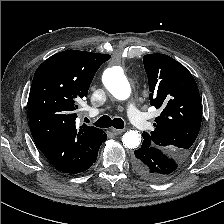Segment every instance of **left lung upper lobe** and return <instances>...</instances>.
Instances as JSON below:
<instances>
[{"instance_id": "5c2ea615", "label": "left lung upper lobe", "mask_w": 224, "mask_h": 224, "mask_svg": "<svg viewBox=\"0 0 224 224\" xmlns=\"http://www.w3.org/2000/svg\"><path fill=\"white\" fill-rule=\"evenodd\" d=\"M148 76L150 104L160 109L154 131L143 132V144L156 147L182 166L193 149L202 119L201 99L192 74L165 54H148L143 58ZM160 177L171 178L176 172Z\"/></svg>"}]
</instances>
